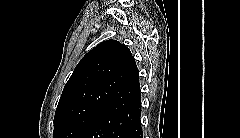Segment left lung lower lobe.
I'll use <instances>...</instances> for the list:
<instances>
[{
	"instance_id": "0a47b994",
	"label": "left lung lower lobe",
	"mask_w": 240,
	"mask_h": 138,
	"mask_svg": "<svg viewBox=\"0 0 240 138\" xmlns=\"http://www.w3.org/2000/svg\"><path fill=\"white\" fill-rule=\"evenodd\" d=\"M139 74L133 64L84 138H143Z\"/></svg>"
}]
</instances>
